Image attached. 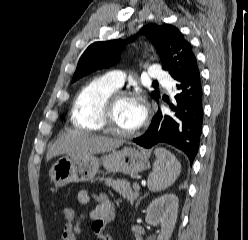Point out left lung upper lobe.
Listing matches in <instances>:
<instances>
[{
    "mask_svg": "<svg viewBox=\"0 0 248 240\" xmlns=\"http://www.w3.org/2000/svg\"><path fill=\"white\" fill-rule=\"evenodd\" d=\"M140 33L147 36L157 48L163 69L168 71L174 79L181 77L196 61L190 43L177 27L170 24L151 23L141 28ZM135 38L136 36H133L127 40L118 39L91 44L79 59L72 81L75 82L96 69L114 65L123 47ZM152 96L159 98V91H153Z\"/></svg>",
    "mask_w": 248,
    "mask_h": 240,
    "instance_id": "1",
    "label": "left lung upper lobe"
}]
</instances>
